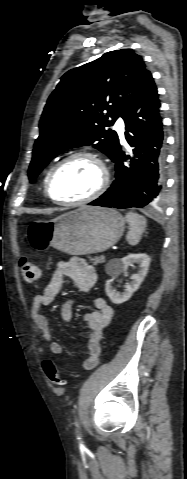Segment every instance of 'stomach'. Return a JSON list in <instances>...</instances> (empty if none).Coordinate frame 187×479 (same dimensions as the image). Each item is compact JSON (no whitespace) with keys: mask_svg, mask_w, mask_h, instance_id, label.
<instances>
[{"mask_svg":"<svg viewBox=\"0 0 187 479\" xmlns=\"http://www.w3.org/2000/svg\"><path fill=\"white\" fill-rule=\"evenodd\" d=\"M125 219L114 209L83 206L53 220H35L28 226L31 246L42 251L52 246L71 255L107 250L121 238Z\"/></svg>","mask_w":187,"mask_h":479,"instance_id":"stomach-1","label":"stomach"}]
</instances>
